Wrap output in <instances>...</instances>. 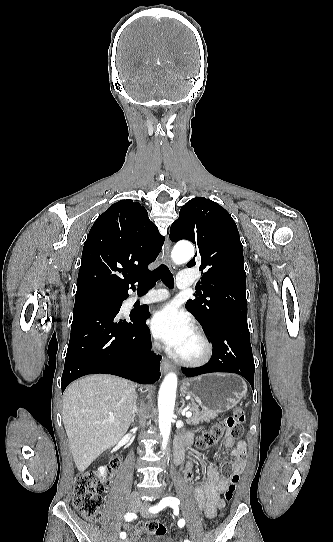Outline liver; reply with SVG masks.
Segmentation results:
<instances>
[{
	"label": "liver",
	"instance_id": "liver-1",
	"mask_svg": "<svg viewBox=\"0 0 333 542\" xmlns=\"http://www.w3.org/2000/svg\"><path fill=\"white\" fill-rule=\"evenodd\" d=\"M135 390L133 382L108 374H92L66 388L62 418L79 472H85L99 454L125 436L137 398Z\"/></svg>",
	"mask_w": 333,
	"mask_h": 542
}]
</instances>
